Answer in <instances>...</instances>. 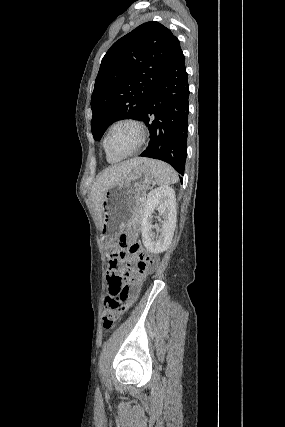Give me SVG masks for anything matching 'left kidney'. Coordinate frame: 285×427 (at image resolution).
I'll list each match as a JSON object with an SVG mask.
<instances>
[{"label":"left kidney","mask_w":285,"mask_h":427,"mask_svg":"<svg viewBox=\"0 0 285 427\" xmlns=\"http://www.w3.org/2000/svg\"><path fill=\"white\" fill-rule=\"evenodd\" d=\"M158 210L162 217L160 233L152 231V213ZM176 226V199L171 187L163 186L152 190L146 199L142 215V241L146 249L154 254L167 250Z\"/></svg>","instance_id":"1"}]
</instances>
